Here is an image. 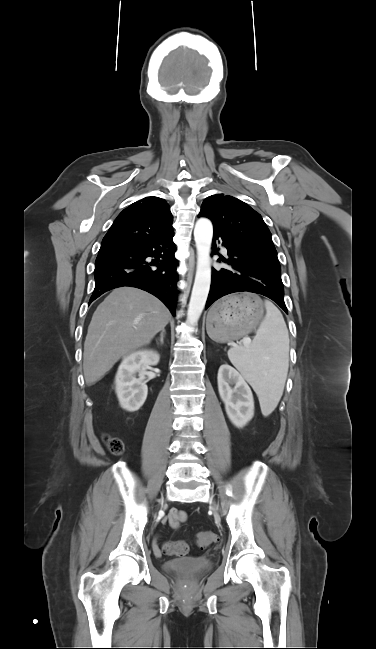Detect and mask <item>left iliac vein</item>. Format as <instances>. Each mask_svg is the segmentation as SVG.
<instances>
[{"instance_id": "obj_1", "label": "left iliac vein", "mask_w": 376, "mask_h": 649, "mask_svg": "<svg viewBox=\"0 0 376 649\" xmlns=\"http://www.w3.org/2000/svg\"><path fill=\"white\" fill-rule=\"evenodd\" d=\"M214 511H215V513H217L215 508H214Z\"/></svg>"}]
</instances>
